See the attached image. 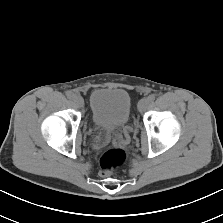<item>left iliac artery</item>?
I'll use <instances>...</instances> for the list:
<instances>
[{"label": "left iliac artery", "mask_w": 223, "mask_h": 223, "mask_svg": "<svg viewBox=\"0 0 223 223\" xmlns=\"http://www.w3.org/2000/svg\"><path fill=\"white\" fill-rule=\"evenodd\" d=\"M155 98H156V95L155 94H151V95H149L147 97V99H148L149 102H153L155 100Z\"/></svg>", "instance_id": "obj_1"}]
</instances>
